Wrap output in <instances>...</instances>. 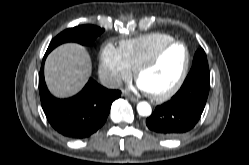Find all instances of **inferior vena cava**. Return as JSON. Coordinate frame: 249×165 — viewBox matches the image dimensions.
Returning a JSON list of instances; mask_svg holds the SVG:
<instances>
[{
	"instance_id": "inferior-vena-cava-1",
	"label": "inferior vena cava",
	"mask_w": 249,
	"mask_h": 165,
	"mask_svg": "<svg viewBox=\"0 0 249 165\" xmlns=\"http://www.w3.org/2000/svg\"><path fill=\"white\" fill-rule=\"evenodd\" d=\"M101 83L103 86L110 88V89H117L122 86L121 79L113 76L103 77L101 79Z\"/></svg>"
}]
</instances>
